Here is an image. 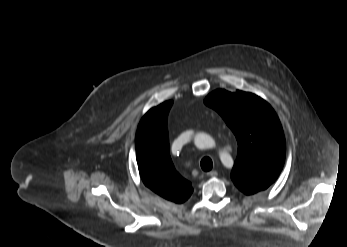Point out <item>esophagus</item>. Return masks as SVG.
Masks as SVG:
<instances>
[{
    "mask_svg": "<svg viewBox=\"0 0 347 247\" xmlns=\"http://www.w3.org/2000/svg\"><path fill=\"white\" fill-rule=\"evenodd\" d=\"M217 175H218V173H217V171H215V170H212V171L207 172V176H209V177H215V176H217Z\"/></svg>",
    "mask_w": 347,
    "mask_h": 247,
    "instance_id": "34e87169",
    "label": "esophagus"
}]
</instances>
